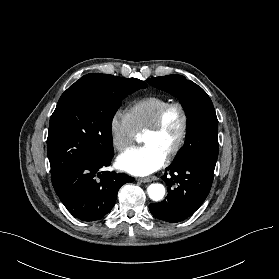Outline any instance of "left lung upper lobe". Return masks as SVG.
Instances as JSON below:
<instances>
[{
  "instance_id": "1",
  "label": "left lung upper lobe",
  "mask_w": 279,
  "mask_h": 279,
  "mask_svg": "<svg viewBox=\"0 0 279 279\" xmlns=\"http://www.w3.org/2000/svg\"><path fill=\"white\" fill-rule=\"evenodd\" d=\"M147 82L176 96L187 116L186 141L171 165L194 163L214 171L219 149L218 120L207 93L182 75L154 77Z\"/></svg>"
}]
</instances>
